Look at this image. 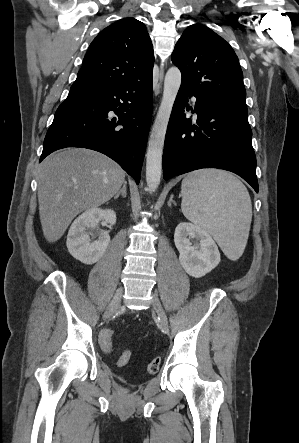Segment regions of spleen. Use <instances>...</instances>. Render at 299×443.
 <instances>
[{
    "label": "spleen",
    "instance_id": "obj_1",
    "mask_svg": "<svg viewBox=\"0 0 299 443\" xmlns=\"http://www.w3.org/2000/svg\"><path fill=\"white\" fill-rule=\"evenodd\" d=\"M181 195L184 216L212 235L229 259H238L252 219L251 199L243 183L225 171L200 170L183 179Z\"/></svg>",
    "mask_w": 299,
    "mask_h": 443
}]
</instances>
